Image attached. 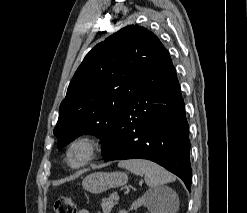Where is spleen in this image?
<instances>
[{"label":"spleen","mask_w":247,"mask_h":213,"mask_svg":"<svg viewBox=\"0 0 247 213\" xmlns=\"http://www.w3.org/2000/svg\"><path fill=\"white\" fill-rule=\"evenodd\" d=\"M118 166L121 168H125L136 175H144L146 184L152 190H157V187L169 182H173L175 180V176L173 174H171L158 164L148 160H123L118 163ZM164 190L170 193V189ZM177 206V197L175 195H171V205L168 207L166 213H175Z\"/></svg>","instance_id":"1"}]
</instances>
